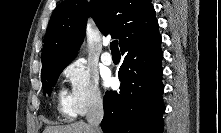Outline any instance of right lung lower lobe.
Listing matches in <instances>:
<instances>
[{
	"mask_svg": "<svg viewBox=\"0 0 221 133\" xmlns=\"http://www.w3.org/2000/svg\"><path fill=\"white\" fill-rule=\"evenodd\" d=\"M161 36L136 38L121 47L124 56L119 91L104 96V133H162Z\"/></svg>",
	"mask_w": 221,
	"mask_h": 133,
	"instance_id": "98d812e1",
	"label": "right lung lower lobe"
}]
</instances>
